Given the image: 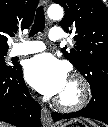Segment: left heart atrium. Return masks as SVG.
Instances as JSON below:
<instances>
[{"instance_id": "left-heart-atrium-1", "label": "left heart atrium", "mask_w": 108, "mask_h": 127, "mask_svg": "<svg viewBox=\"0 0 108 127\" xmlns=\"http://www.w3.org/2000/svg\"><path fill=\"white\" fill-rule=\"evenodd\" d=\"M25 78L36 90L48 96L59 95L68 81L64 63L46 53L27 62Z\"/></svg>"}]
</instances>
